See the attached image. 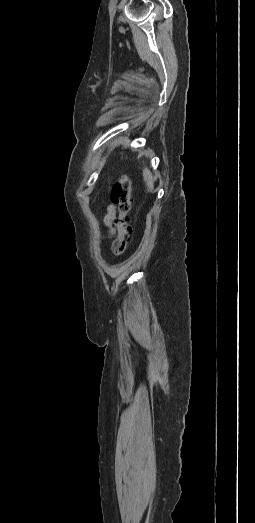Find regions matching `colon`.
<instances>
[{"label": "colon", "mask_w": 255, "mask_h": 523, "mask_svg": "<svg viewBox=\"0 0 255 523\" xmlns=\"http://www.w3.org/2000/svg\"><path fill=\"white\" fill-rule=\"evenodd\" d=\"M110 197L111 202L116 207L113 223L117 228V236L112 243V251L115 255H121L125 252L133 232L129 219L132 205V184L127 175H122L117 179Z\"/></svg>", "instance_id": "obj_1"}]
</instances>
